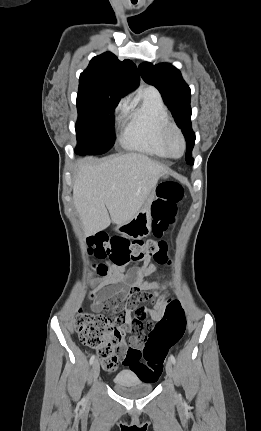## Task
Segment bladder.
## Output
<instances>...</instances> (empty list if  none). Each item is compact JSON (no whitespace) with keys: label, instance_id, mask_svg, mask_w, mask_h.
Here are the masks:
<instances>
[{"label":"bladder","instance_id":"31cf9c89","mask_svg":"<svg viewBox=\"0 0 261 431\" xmlns=\"http://www.w3.org/2000/svg\"><path fill=\"white\" fill-rule=\"evenodd\" d=\"M113 388L121 396L140 398L151 393L153 384L139 379L130 370H122L114 377Z\"/></svg>","mask_w":261,"mask_h":431}]
</instances>
